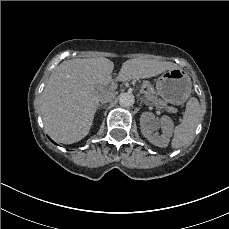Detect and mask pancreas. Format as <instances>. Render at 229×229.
<instances>
[{
  "instance_id": "obj_1",
  "label": "pancreas",
  "mask_w": 229,
  "mask_h": 229,
  "mask_svg": "<svg viewBox=\"0 0 229 229\" xmlns=\"http://www.w3.org/2000/svg\"><path fill=\"white\" fill-rule=\"evenodd\" d=\"M142 87L143 88L140 90V93L145 95L144 102L147 105H153L158 107L159 109H162L165 106V103L160 98H158L156 90L153 86H151L150 82L143 81ZM166 109L168 112H176L173 107H167Z\"/></svg>"
}]
</instances>
